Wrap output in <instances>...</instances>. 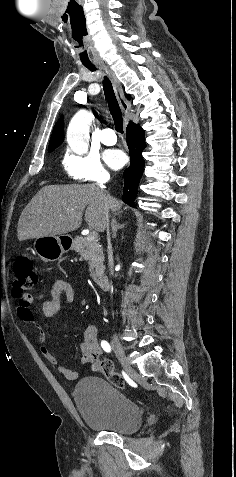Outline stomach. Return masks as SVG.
I'll return each instance as SVG.
<instances>
[{
    "label": "stomach",
    "instance_id": "obj_1",
    "mask_svg": "<svg viewBox=\"0 0 236 477\" xmlns=\"http://www.w3.org/2000/svg\"><path fill=\"white\" fill-rule=\"evenodd\" d=\"M63 237L44 236L36 238L34 242L35 252L44 261L58 260L70 248L69 240Z\"/></svg>",
    "mask_w": 236,
    "mask_h": 477
}]
</instances>
